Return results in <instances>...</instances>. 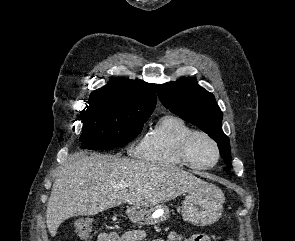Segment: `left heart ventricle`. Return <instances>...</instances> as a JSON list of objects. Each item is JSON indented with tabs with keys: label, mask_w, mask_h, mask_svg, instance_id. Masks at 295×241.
<instances>
[{
	"label": "left heart ventricle",
	"mask_w": 295,
	"mask_h": 241,
	"mask_svg": "<svg viewBox=\"0 0 295 241\" xmlns=\"http://www.w3.org/2000/svg\"><path fill=\"white\" fill-rule=\"evenodd\" d=\"M192 160L201 166L211 165L216 158V151L212 143L204 137H196L191 144Z\"/></svg>",
	"instance_id": "b2bd125f"
}]
</instances>
